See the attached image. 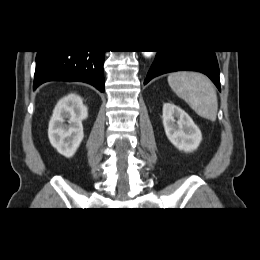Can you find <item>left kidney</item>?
<instances>
[{
    "instance_id": "left-kidney-1",
    "label": "left kidney",
    "mask_w": 260,
    "mask_h": 260,
    "mask_svg": "<svg viewBox=\"0 0 260 260\" xmlns=\"http://www.w3.org/2000/svg\"><path fill=\"white\" fill-rule=\"evenodd\" d=\"M163 125L167 138L180 151L196 150L202 134L191 117L173 103L163 105Z\"/></svg>"
}]
</instances>
